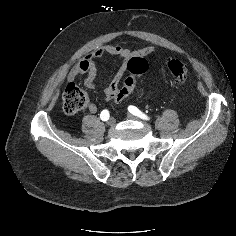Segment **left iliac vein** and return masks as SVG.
I'll use <instances>...</instances> for the list:
<instances>
[{
  "label": "left iliac vein",
  "mask_w": 236,
  "mask_h": 236,
  "mask_svg": "<svg viewBox=\"0 0 236 236\" xmlns=\"http://www.w3.org/2000/svg\"><path fill=\"white\" fill-rule=\"evenodd\" d=\"M128 118L131 120H138V118L132 114H128Z\"/></svg>",
  "instance_id": "4c4485c4"
}]
</instances>
